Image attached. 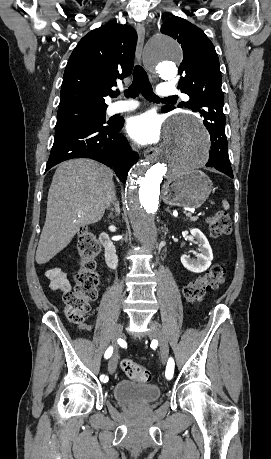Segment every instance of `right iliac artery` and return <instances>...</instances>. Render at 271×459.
Returning <instances> with one entry per match:
<instances>
[{
    "instance_id": "right-iliac-artery-1",
    "label": "right iliac artery",
    "mask_w": 271,
    "mask_h": 459,
    "mask_svg": "<svg viewBox=\"0 0 271 459\" xmlns=\"http://www.w3.org/2000/svg\"><path fill=\"white\" fill-rule=\"evenodd\" d=\"M112 353H113V347L110 346V347L106 350V352H105V354H104V357H105L106 359H108V358L111 357ZM101 376H102V379H104L105 382H108V381H109V376L107 375V373L104 372V373H102Z\"/></svg>"
}]
</instances>
